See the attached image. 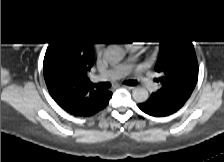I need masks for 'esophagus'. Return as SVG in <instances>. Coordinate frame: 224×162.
I'll return each instance as SVG.
<instances>
[{
	"instance_id": "obj_1",
	"label": "esophagus",
	"mask_w": 224,
	"mask_h": 162,
	"mask_svg": "<svg viewBox=\"0 0 224 162\" xmlns=\"http://www.w3.org/2000/svg\"><path fill=\"white\" fill-rule=\"evenodd\" d=\"M123 87H125V88H127V89H129V90L134 89V87H133V86H128V85H124Z\"/></svg>"
}]
</instances>
